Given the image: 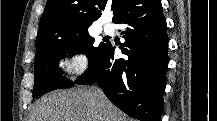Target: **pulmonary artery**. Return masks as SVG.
Segmentation results:
<instances>
[{"label":"pulmonary artery","instance_id":"1","mask_svg":"<svg viewBox=\"0 0 217 121\" xmlns=\"http://www.w3.org/2000/svg\"><path fill=\"white\" fill-rule=\"evenodd\" d=\"M102 28L106 34H112L114 32V26L111 23H105Z\"/></svg>","mask_w":217,"mask_h":121}]
</instances>
